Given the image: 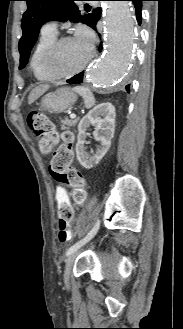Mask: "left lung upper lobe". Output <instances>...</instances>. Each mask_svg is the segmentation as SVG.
Returning <instances> with one entry per match:
<instances>
[{
  "mask_svg": "<svg viewBox=\"0 0 183 329\" xmlns=\"http://www.w3.org/2000/svg\"><path fill=\"white\" fill-rule=\"evenodd\" d=\"M28 9L22 18L23 36L19 42L20 67L23 69L28 61L30 51L36 42L40 27L51 20L82 22L92 27L95 15H81L75 1L77 0H24Z\"/></svg>",
  "mask_w": 183,
  "mask_h": 329,
  "instance_id": "left-lung-upper-lobe-1",
  "label": "left lung upper lobe"
}]
</instances>
